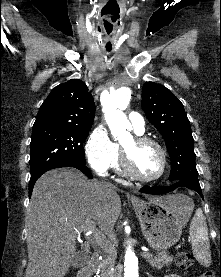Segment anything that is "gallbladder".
Listing matches in <instances>:
<instances>
[{
	"mask_svg": "<svg viewBox=\"0 0 221 277\" xmlns=\"http://www.w3.org/2000/svg\"><path fill=\"white\" fill-rule=\"evenodd\" d=\"M89 259V254L85 251H79L77 254H76V257L72 263V266L74 268H80L82 267L83 265L86 264V262L88 261Z\"/></svg>",
	"mask_w": 221,
	"mask_h": 277,
	"instance_id": "bac80fb5",
	"label": "gallbladder"
}]
</instances>
